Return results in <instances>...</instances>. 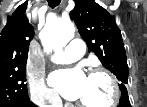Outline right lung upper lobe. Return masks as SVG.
<instances>
[{"mask_svg": "<svg viewBox=\"0 0 147 107\" xmlns=\"http://www.w3.org/2000/svg\"><path fill=\"white\" fill-rule=\"evenodd\" d=\"M27 2L8 18L0 37V73L26 67L34 28L25 17Z\"/></svg>", "mask_w": 147, "mask_h": 107, "instance_id": "1", "label": "right lung upper lobe"}]
</instances>
